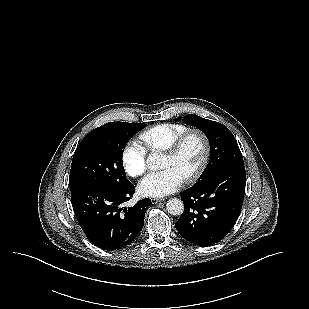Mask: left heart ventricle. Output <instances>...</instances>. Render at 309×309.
I'll return each instance as SVG.
<instances>
[{
  "mask_svg": "<svg viewBox=\"0 0 309 309\" xmlns=\"http://www.w3.org/2000/svg\"><path fill=\"white\" fill-rule=\"evenodd\" d=\"M203 152L202 140L196 135L191 136L175 157L164 155L161 168L173 169L184 179L197 169Z\"/></svg>",
  "mask_w": 309,
  "mask_h": 309,
  "instance_id": "obj_1",
  "label": "left heart ventricle"
}]
</instances>
